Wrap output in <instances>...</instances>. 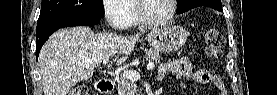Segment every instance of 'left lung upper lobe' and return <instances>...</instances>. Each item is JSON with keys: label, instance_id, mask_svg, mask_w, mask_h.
<instances>
[{"label": "left lung upper lobe", "instance_id": "left-lung-upper-lobe-1", "mask_svg": "<svg viewBox=\"0 0 277 95\" xmlns=\"http://www.w3.org/2000/svg\"><path fill=\"white\" fill-rule=\"evenodd\" d=\"M198 6H207L222 11L221 0H177V14L184 13Z\"/></svg>", "mask_w": 277, "mask_h": 95}]
</instances>
